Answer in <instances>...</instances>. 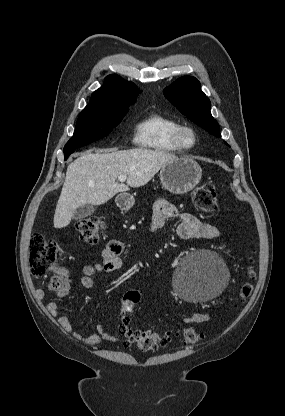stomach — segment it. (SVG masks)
<instances>
[{
    "label": "stomach",
    "mask_w": 285,
    "mask_h": 416,
    "mask_svg": "<svg viewBox=\"0 0 285 416\" xmlns=\"http://www.w3.org/2000/svg\"><path fill=\"white\" fill-rule=\"evenodd\" d=\"M161 184L171 194H187L194 190L202 178V170L191 158H177L165 164L159 174ZM124 200V198H123ZM117 204H120L117 200ZM134 200L127 202V208L133 206Z\"/></svg>",
    "instance_id": "stomach-1"
}]
</instances>
